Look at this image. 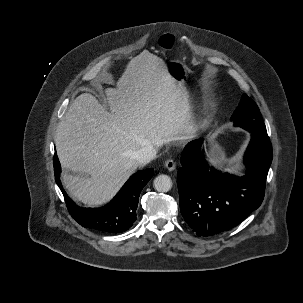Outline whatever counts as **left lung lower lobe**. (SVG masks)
<instances>
[{"label": "left lung lower lobe", "mask_w": 303, "mask_h": 303, "mask_svg": "<svg viewBox=\"0 0 303 303\" xmlns=\"http://www.w3.org/2000/svg\"><path fill=\"white\" fill-rule=\"evenodd\" d=\"M248 131L252 138L244 157L247 172L242 177L210 167L201 153L203 138L188 143L183 151L177 179L180 209L198 236L232 229L263 201L272 145L269 137Z\"/></svg>", "instance_id": "0a47b994"}]
</instances>
